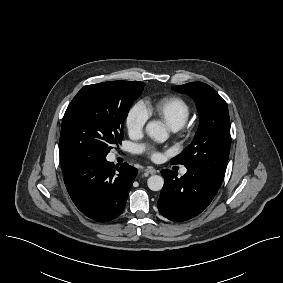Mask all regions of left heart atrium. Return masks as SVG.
Segmentation results:
<instances>
[{"label":"left heart atrium","instance_id":"obj_1","mask_svg":"<svg viewBox=\"0 0 283 283\" xmlns=\"http://www.w3.org/2000/svg\"><path fill=\"white\" fill-rule=\"evenodd\" d=\"M142 152H145L151 159L156 160L159 158V152L153 147L142 146L140 148Z\"/></svg>","mask_w":283,"mask_h":283}]
</instances>
